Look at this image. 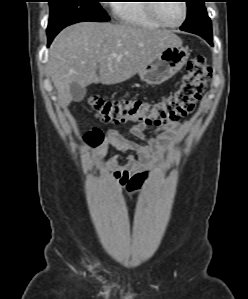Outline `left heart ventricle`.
I'll list each match as a JSON object with an SVG mask.
<instances>
[{
  "label": "left heart ventricle",
  "mask_w": 248,
  "mask_h": 299,
  "mask_svg": "<svg viewBox=\"0 0 248 299\" xmlns=\"http://www.w3.org/2000/svg\"><path fill=\"white\" fill-rule=\"evenodd\" d=\"M161 17L170 24H177L183 16L181 1H165L158 6Z\"/></svg>",
  "instance_id": "obj_1"
}]
</instances>
